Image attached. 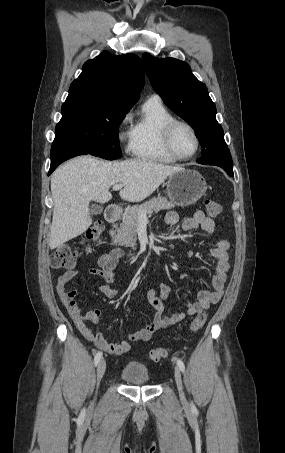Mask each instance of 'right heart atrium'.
Returning <instances> with one entry per match:
<instances>
[{
  "mask_svg": "<svg viewBox=\"0 0 285 453\" xmlns=\"http://www.w3.org/2000/svg\"><path fill=\"white\" fill-rule=\"evenodd\" d=\"M127 120H128V116L126 115V116H124V117L122 118V120L120 121V124H119V127H118V129H119V139H120V140H123V139L125 138V136H126V133H124V132L122 131V128H123V126L126 124Z\"/></svg>",
  "mask_w": 285,
  "mask_h": 453,
  "instance_id": "d8ad5b80",
  "label": "right heart atrium"
}]
</instances>
